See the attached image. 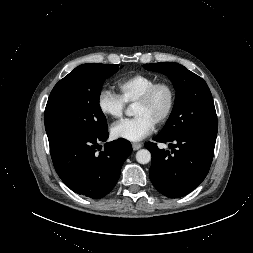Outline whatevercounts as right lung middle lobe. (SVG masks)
<instances>
[{"instance_id": "dd1d6c3e", "label": "right lung middle lobe", "mask_w": 253, "mask_h": 253, "mask_svg": "<svg viewBox=\"0 0 253 253\" xmlns=\"http://www.w3.org/2000/svg\"><path fill=\"white\" fill-rule=\"evenodd\" d=\"M119 65L83 64L53 88L45 109L49 142L72 135H89L107 127L99 98L102 85Z\"/></svg>"}]
</instances>
